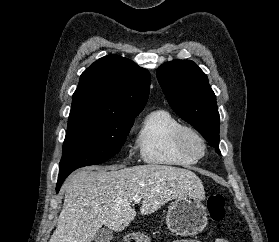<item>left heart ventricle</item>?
Returning <instances> with one entry per match:
<instances>
[{
    "mask_svg": "<svg viewBox=\"0 0 279 242\" xmlns=\"http://www.w3.org/2000/svg\"><path fill=\"white\" fill-rule=\"evenodd\" d=\"M194 147H195V149H199V147H198V145L196 144V143H194Z\"/></svg>",
    "mask_w": 279,
    "mask_h": 242,
    "instance_id": "b2bd125f",
    "label": "left heart ventricle"
}]
</instances>
